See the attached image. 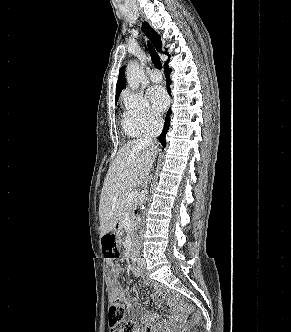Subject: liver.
I'll return each instance as SVG.
<instances>
[{
	"label": "liver",
	"mask_w": 291,
	"mask_h": 332,
	"mask_svg": "<svg viewBox=\"0 0 291 332\" xmlns=\"http://www.w3.org/2000/svg\"><path fill=\"white\" fill-rule=\"evenodd\" d=\"M157 146L138 140L124 144L108 169L99 203L100 234L104 236L122 218V201L146 180L154 163Z\"/></svg>",
	"instance_id": "obj_1"
}]
</instances>
